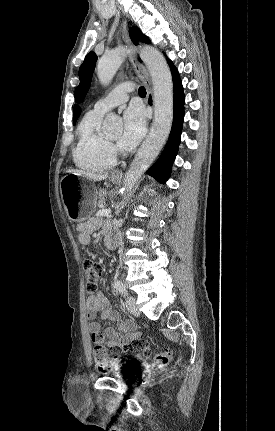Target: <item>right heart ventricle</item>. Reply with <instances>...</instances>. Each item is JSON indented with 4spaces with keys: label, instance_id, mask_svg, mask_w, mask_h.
Wrapping results in <instances>:
<instances>
[{
    "label": "right heart ventricle",
    "instance_id": "1",
    "mask_svg": "<svg viewBox=\"0 0 275 431\" xmlns=\"http://www.w3.org/2000/svg\"><path fill=\"white\" fill-rule=\"evenodd\" d=\"M103 113L89 111L77 128V144L73 152L75 164L84 170L99 172L115 164L110 143L101 132Z\"/></svg>",
    "mask_w": 275,
    "mask_h": 431
}]
</instances>
